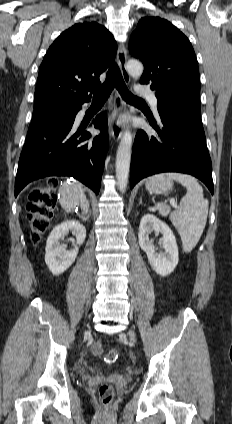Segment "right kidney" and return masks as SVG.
Returning a JSON list of instances; mask_svg holds the SVG:
<instances>
[{
    "label": "right kidney",
    "instance_id": "obj_1",
    "mask_svg": "<svg viewBox=\"0 0 232 424\" xmlns=\"http://www.w3.org/2000/svg\"><path fill=\"white\" fill-rule=\"evenodd\" d=\"M71 231L76 237L74 248L67 251L60 242L61 238ZM86 237V229L75 220H67L50 233L46 243L45 262L49 270L54 275H59L67 270L75 261L79 245H81Z\"/></svg>",
    "mask_w": 232,
    "mask_h": 424
}]
</instances>
